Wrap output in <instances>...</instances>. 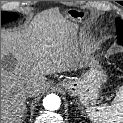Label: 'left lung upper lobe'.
I'll return each mask as SVG.
<instances>
[{
    "label": "left lung upper lobe",
    "mask_w": 123,
    "mask_h": 123,
    "mask_svg": "<svg viewBox=\"0 0 123 123\" xmlns=\"http://www.w3.org/2000/svg\"><path fill=\"white\" fill-rule=\"evenodd\" d=\"M116 28L118 40L123 45V21L120 18H116Z\"/></svg>",
    "instance_id": "left-lung-upper-lobe-1"
}]
</instances>
